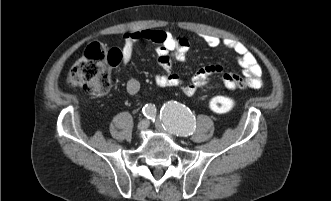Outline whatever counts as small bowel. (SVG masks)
I'll list each match as a JSON object with an SVG mask.
<instances>
[{
  "instance_id": "obj_1",
  "label": "small bowel",
  "mask_w": 331,
  "mask_h": 201,
  "mask_svg": "<svg viewBox=\"0 0 331 201\" xmlns=\"http://www.w3.org/2000/svg\"><path fill=\"white\" fill-rule=\"evenodd\" d=\"M204 43L216 48L224 46L231 49L236 55L239 65L243 68V77L234 73L224 72L220 66H205L200 68L192 80L184 82L172 69V61H185L190 43L187 38L172 33L143 29L127 32L122 37L120 51L123 65H127L133 54L134 45L139 41L157 44V55L162 72L155 77L157 85L161 87H178L185 95L192 96L199 89L209 87L210 77L216 74L221 76V81L227 89L252 88L262 86V68L254 54L241 42L231 39H220L213 35H202ZM141 84L136 78H130L126 83V91L134 96L140 91Z\"/></svg>"
}]
</instances>
